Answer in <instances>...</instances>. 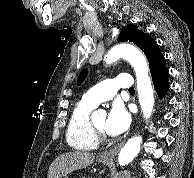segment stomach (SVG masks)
Masks as SVG:
<instances>
[{
  "instance_id": "obj_1",
  "label": "stomach",
  "mask_w": 194,
  "mask_h": 178,
  "mask_svg": "<svg viewBox=\"0 0 194 178\" xmlns=\"http://www.w3.org/2000/svg\"><path fill=\"white\" fill-rule=\"evenodd\" d=\"M100 162L104 165H109L112 163V159H100Z\"/></svg>"
}]
</instances>
